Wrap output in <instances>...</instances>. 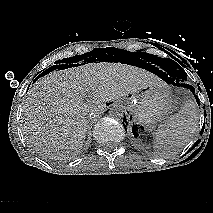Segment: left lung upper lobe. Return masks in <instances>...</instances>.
I'll list each match as a JSON object with an SVG mask.
<instances>
[{"mask_svg": "<svg viewBox=\"0 0 213 213\" xmlns=\"http://www.w3.org/2000/svg\"><path fill=\"white\" fill-rule=\"evenodd\" d=\"M158 65L166 71L169 76L173 77L175 81L184 82L187 79V74L175 61L171 59L156 58Z\"/></svg>", "mask_w": 213, "mask_h": 213, "instance_id": "1", "label": "left lung upper lobe"}]
</instances>
